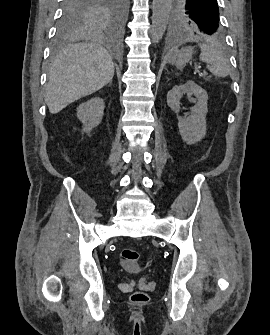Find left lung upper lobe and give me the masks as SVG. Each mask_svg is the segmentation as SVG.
<instances>
[{
    "label": "left lung upper lobe",
    "instance_id": "1",
    "mask_svg": "<svg viewBox=\"0 0 270 335\" xmlns=\"http://www.w3.org/2000/svg\"><path fill=\"white\" fill-rule=\"evenodd\" d=\"M174 16L184 29L209 36L222 32L217 0H176Z\"/></svg>",
    "mask_w": 270,
    "mask_h": 335
}]
</instances>
